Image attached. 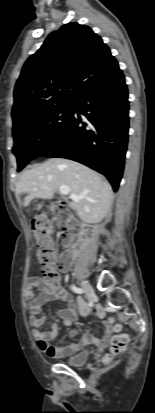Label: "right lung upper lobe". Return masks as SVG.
I'll use <instances>...</instances> for the list:
<instances>
[{"instance_id":"right-lung-upper-lobe-1","label":"right lung upper lobe","mask_w":155,"mask_h":413,"mask_svg":"<svg viewBox=\"0 0 155 413\" xmlns=\"http://www.w3.org/2000/svg\"><path fill=\"white\" fill-rule=\"evenodd\" d=\"M118 68L100 36L76 22L51 33L25 62L14 90L13 126L60 105Z\"/></svg>"}]
</instances>
